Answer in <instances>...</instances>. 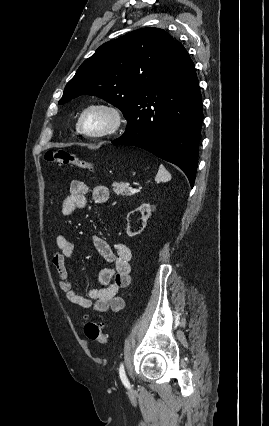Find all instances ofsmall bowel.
<instances>
[{
  "mask_svg": "<svg viewBox=\"0 0 269 426\" xmlns=\"http://www.w3.org/2000/svg\"><path fill=\"white\" fill-rule=\"evenodd\" d=\"M89 191L86 183L72 181L69 186V195L62 202V215L69 216L76 209H84L87 206L86 196ZM92 196L97 204H105L110 198V192L105 186H96L92 189ZM56 243L57 251L52 256V263L58 272V287L65 294L63 301L66 304L97 312H105L109 309L117 312L124 307V300L118 296V293L131 282L132 253L127 245L117 244L114 252L103 237L99 235L93 237L96 251L106 263L112 264V267H105L99 272L98 287L91 288L86 295H81L71 283L66 264V261L75 254L76 247L64 235H59Z\"/></svg>",
  "mask_w": 269,
  "mask_h": 426,
  "instance_id": "small-bowel-1",
  "label": "small bowel"
}]
</instances>
